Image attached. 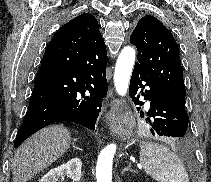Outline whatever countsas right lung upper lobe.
Segmentation results:
<instances>
[{
  "mask_svg": "<svg viewBox=\"0 0 211 182\" xmlns=\"http://www.w3.org/2000/svg\"><path fill=\"white\" fill-rule=\"evenodd\" d=\"M59 40L69 39L80 42L97 41L102 39L98 31V22L90 14H81L62 26L54 35Z\"/></svg>",
  "mask_w": 211,
  "mask_h": 182,
  "instance_id": "obj_1",
  "label": "right lung upper lobe"
}]
</instances>
